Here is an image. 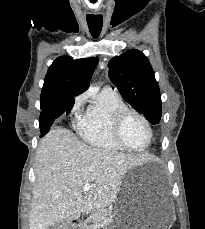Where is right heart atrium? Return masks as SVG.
<instances>
[{"mask_svg": "<svg viewBox=\"0 0 205 229\" xmlns=\"http://www.w3.org/2000/svg\"><path fill=\"white\" fill-rule=\"evenodd\" d=\"M86 98H87V93H82L74 99L71 112L78 119L81 117L82 107L86 101Z\"/></svg>", "mask_w": 205, "mask_h": 229, "instance_id": "right-heart-atrium-1", "label": "right heart atrium"}]
</instances>
